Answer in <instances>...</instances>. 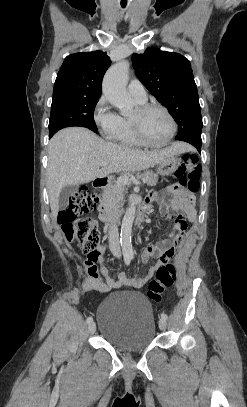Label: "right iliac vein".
I'll list each match as a JSON object with an SVG mask.
<instances>
[{
  "label": "right iliac vein",
  "instance_id": "63e3f726",
  "mask_svg": "<svg viewBox=\"0 0 247 407\" xmlns=\"http://www.w3.org/2000/svg\"><path fill=\"white\" fill-rule=\"evenodd\" d=\"M95 331H96V324H95V322H91L89 324V333L93 334Z\"/></svg>",
  "mask_w": 247,
  "mask_h": 407
}]
</instances>
